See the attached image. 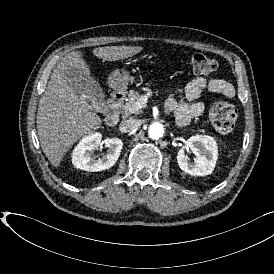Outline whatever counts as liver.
Returning <instances> with one entry per match:
<instances>
[{
	"instance_id": "6515ba94",
	"label": "liver",
	"mask_w": 274,
	"mask_h": 274,
	"mask_svg": "<svg viewBox=\"0 0 274 274\" xmlns=\"http://www.w3.org/2000/svg\"><path fill=\"white\" fill-rule=\"evenodd\" d=\"M144 46H104L93 49L103 61H119L139 54ZM91 66L81 50L69 52L52 73L37 111V132L43 153L58 168L75 143L103 127V119L79 97L73 82L91 77Z\"/></svg>"
}]
</instances>
